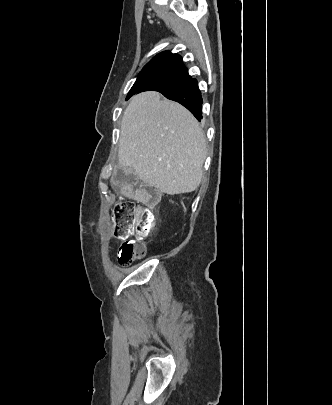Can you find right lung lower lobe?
<instances>
[{
	"instance_id": "obj_1",
	"label": "right lung lower lobe",
	"mask_w": 332,
	"mask_h": 405,
	"mask_svg": "<svg viewBox=\"0 0 332 405\" xmlns=\"http://www.w3.org/2000/svg\"><path fill=\"white\" fill-rule=\"evenodd\" d=\"M168 99L179 102L185 106L197 119H202V97L196 79H187L173 87L159 90ZM139 91H130L127 99Z\"/></svg>"
}]
</instances>
